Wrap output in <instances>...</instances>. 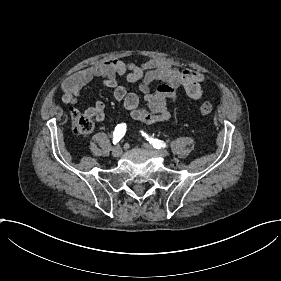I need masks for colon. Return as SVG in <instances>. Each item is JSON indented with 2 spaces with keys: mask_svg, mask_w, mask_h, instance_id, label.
Returning a JSON list of instances; mask_svg holds the SVG:
<instances>
[{
  "mask_svg": "<svg viewBox=\"0 0 281 281\" xmlns=\"http://www.w3.org/2000/svg\"><path fill=\"white\" fill-rule=\"evenodd\" d=\"M215 104L210 100H203L198 105L199 113L203 115H211L214 112ZM77 129L81 133H88L92 129V122L87 117H80L77 120Z\"/></svg>",
  "mask_w": 281,
  "mask_h": 281,
  "instance_id": "colon-1",
  "label": "colon"
}]
</instances>
